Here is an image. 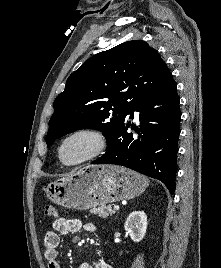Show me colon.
I'll list each match as a JSON object with an SVG mask.
<instances>
[{
  "instance_id": "colon-1",
  "label": "colon",
  "mask_w": 221,
  "mask_h": 268,
  "mask_svg": "<svg viewBox=\"0 0 221 268\" xmlns=\"http://www.w3.org/2000/svg\"><path fill=\"white\" fill-rule=\"evenodd\" d=\"M45 215L48 217H57V210L54 206L48 205L45 207Z\"/></svg>"
}]
</instances>
